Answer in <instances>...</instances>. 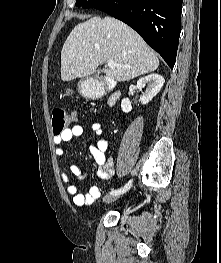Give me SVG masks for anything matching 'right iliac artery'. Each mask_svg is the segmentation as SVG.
Wrapping results in <instances>:
<instances>
[{
  "mask_svg": "<svg viewBox=\"0 0 221 263\" xmlns=\"http://www.w3.org/2000/svg\"><path fill=\"white\" fill-rule=\"evenodd\" d=\"M132 185V180H130L124 187L120 188V189H117V190H112L110 192V195H120V194H123L125 193L128 189H130Z\"/></svg>",
  "mask_w": 221,
  "mask_h": 263,
  "instance_id": "1",
  "label": "right iliac artery"
}]
</instances>
